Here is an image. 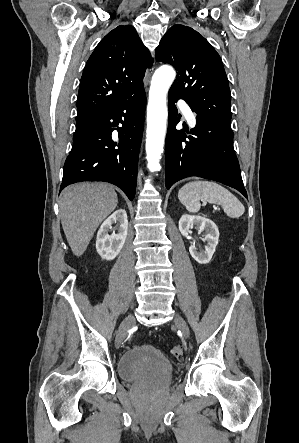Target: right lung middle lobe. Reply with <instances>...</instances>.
<instances>
[{
    "label": "right lung middle lobe",
    "mask_w": 299,
    "mask_h": 443,
    "mask_svg": "<svg viewBox=\"0 0 299 443\" xmlns=\"http://www.w3.org/2000/svg\"><path fill=\"white\" fill-rule=\"evenodd\" d=\"M93 120H87L76 124V130L74 133V141L80 138L85 131L92 125Z\"/></svg>",
    "instance_id": "1"
}]
</instances>
